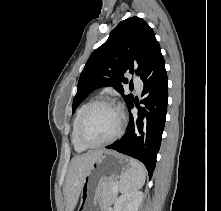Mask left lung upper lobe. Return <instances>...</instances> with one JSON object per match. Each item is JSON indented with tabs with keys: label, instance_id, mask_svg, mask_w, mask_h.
I'll return each instance as SVG.
<instances>
[{
	"label": "left lung upper lobe",
	"instance_id": "left-lung-upper-lobe-1",
	"mask_svg": "<svg viewBox=\"0 0 221 211\" xmlns=\"http://www.w3.org/2000/svg\"><path fill=\"white\" fill-rule=\"evenodd\" d=\"M158 51L155 34L144 20L131 17L121 21L108 40L93 51L81 72L73 112L88 93L102 86H113L128 106L133 95H124L121 82L127 83V79L123 74L136 73L141 78Z\"/></svg>",
	"mask_w": 221,
	"mask_h": 211
}]
</instances>
